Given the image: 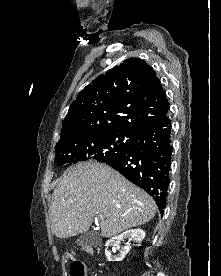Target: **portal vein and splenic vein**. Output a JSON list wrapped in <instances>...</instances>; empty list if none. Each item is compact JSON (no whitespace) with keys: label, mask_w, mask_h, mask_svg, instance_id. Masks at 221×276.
Listing matches in <instances>:
<instances>
[{"label":"portal vein and splenic vein","mask_w":221,"mask_h":276,"mask_svg":"<svg viewBox=\"0 0 221 276\" xmlns=\"http://www.w3.org/2000/svg\"><path fill=\"white\" fill-rule=\"evenodd\" d=\"M98 218L102 219L103 217L102 216H98Z\"/></svg>","instance_id":"portal-vein-and-splenic-vein-1"}]
</instances>
